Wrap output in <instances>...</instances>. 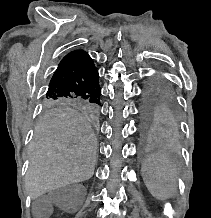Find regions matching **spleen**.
<instances>
[{
  "label": "spleen",
  "instance_id": "3e777b00",
  "mask_svg": "<svg viewBox=\"0 0 211 218\" xmlns=\"http://www.w3.org/2000/svg\"><path fill=\"white\" fill-rule=\"evenodd\" d=\"M141 172L144 184L154 198H174L177 192L176 172L172 162L162 152L147 156Z\"/></svg>",
  "mask_w": 211,
  "mask_h": 218
}]
</instances>
